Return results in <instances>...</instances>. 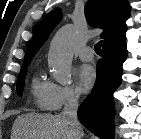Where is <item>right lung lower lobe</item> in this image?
I'll use <instances>...</instances> for the list:
<instances>
[{
  "label": "right lung lower lobe",
  "mask_w": 141,
  "mask_h": 139,
  "mask_svg": "<svg viewBox=\"0 0 141 139\" xmlns=\"http://www.w3.org/2000/svg\"><path fill=\"white\" fill-rule=\"evenodd\" d=\"M126 57V37L103 46L94 88L78 109L80 122L101 139L115 137L113 93L121 84Z\"/></svg>",
  "instance_id": "1"
}]
</instances>
